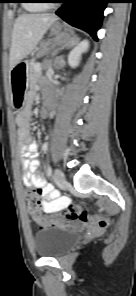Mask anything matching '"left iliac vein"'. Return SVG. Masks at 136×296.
<instances>
[{"label":"left iliac vein","mask_w":136,"mask_h":296,"mask_svg":"<svg viewBox=\"0 0 136 296\" xmlns=\"http://www.w3.org/2000/svg\"><path fill=\"white\" fill-rule=\"evenodd\" d=\"M54 178H55V181L59 187L64 186L66 180H65L63 172L60 169H55Z\"/></svg>","instance_id":"left-iliac-vein-1"}]
</instances>
